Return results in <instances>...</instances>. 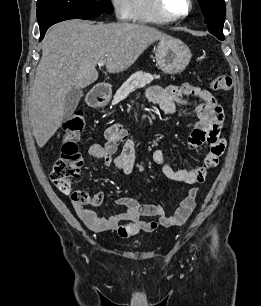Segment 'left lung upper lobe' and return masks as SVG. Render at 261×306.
I'll list each match as a JSON object with an SVG mask.
<instances>
[{"label": "left lung upper lobe", "mask_w": 261, "mask_h": 306, "mask_svg": "<svg viewBox=\"0 0 261 306\" xmlns=\"http://www.w3.org/2000/svg\"><path fill=\"white\" fill-rule=\"evenodd\" d=\"M205 23L213 35H223V25L226 16L224 0H198Z\"/></svg>", "instance_id": "5c2ea615"}]
</instances>
